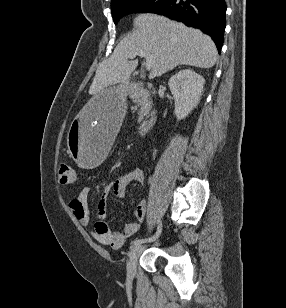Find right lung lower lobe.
<instances>
[{
	"instance_id": "obj_1",
	"label": "right lung lower lobe",
	"mask_w": 286,
	"mask_h": 308,
	"mask_svg": "<svg viewBox=\"0 0 286 308\" xmlns=\"http://www.w3.org/2000/svg\"><path fill=\"white\" fill-rule=\"evenodd\" d=\"M153 13L201 29L211 36L220 53L226 27L224 0H168Z\"/></svg>"
}]
</instances>
